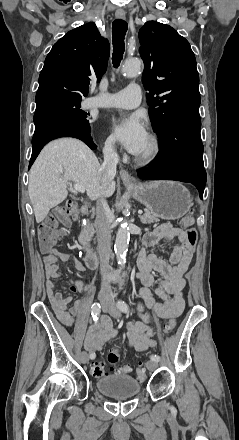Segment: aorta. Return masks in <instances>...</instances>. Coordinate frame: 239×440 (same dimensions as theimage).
I'll use <instances>...</instances> for the list:
<instances>
[{
  "instance_id": "1",
  "label": "aorta",
  "mask_w": 239,
  "mask_h": 440,
  "mask_svg": "<svg viewBox=\"0 0 239 440\" xmlns=\"http://www.w3.org/2000/svg\"><path fill=\"white\" fill-rule=\"evenodd\" d=\"M141 66H142V62H140V60H127V62H125L122 68L124 72V76H126V78H136V76H139L140 74ZM128 242H129V232H128L127 224H121L116 234V240L114 246V250L119 266H124V264H126Z\"/></svg>"
}]
</instances>
